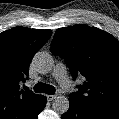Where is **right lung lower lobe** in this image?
<instances>
[{"label":"right lung lower lobe","instance_id":"obj_1","mask_svg":"<svg viewBox=\"0 0 119 119\" xmlns=\"http://www.w3.org/2000/svg\"><path fill=\"white\" fill-rule=\"evenodd\" d=\"M45 105H46V97H43V101L40 104L39 109L37 113L35 114V116L33 117V119H38V114L44 109Z\"/></svg>","mask_w":119,"mask_h":119}]
</instances>
